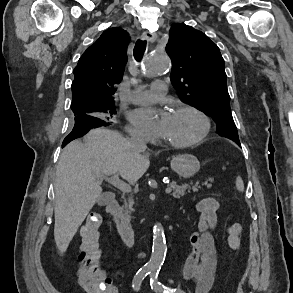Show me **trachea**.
I'll list each match as a JSON object with an SVG mask.
<instances>
[{"label": "trachea", "mask_w": 293, "mask_h": 293, "mask_svg": "<svg viewBox=\"0 0 293 293\" xmlns=\"http://www.w3.org/2000/svg\"><path fill=\"white\" fill-rule=\"evenodd\" d=\"M146 40H137L135 47H134V58L136 61H140L143 57V54L146 49Z\"/></svg>", "instance_id": "1"}]
</instances>
